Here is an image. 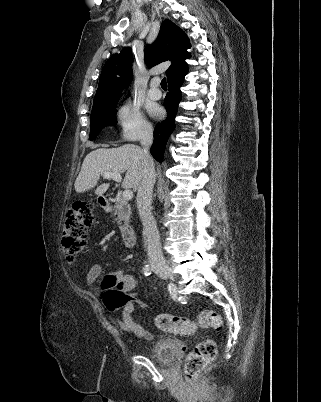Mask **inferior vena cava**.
<instances>
[{"label": "inferior vena cava", "mask_w": 321, "mask_h": 402, "mask_svg": "<svg viewBox=\"0 0 321 402\" xmlns=\"http://www.w3.org/2000/svg\"><path fill=\"white\" fill-rule=\"evenodd\" d=\"M140 143L143 150L144 170L142 181L137 190V209L146 235L148 261L153 268H164L166 263L161 249L160 235L150 207L156 178L154 162L149 153L153 143V131L151 128L144 130Z\"/></svg>", "instance_id": "obj_1"}]
</instances>
